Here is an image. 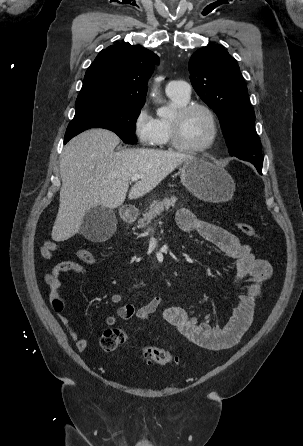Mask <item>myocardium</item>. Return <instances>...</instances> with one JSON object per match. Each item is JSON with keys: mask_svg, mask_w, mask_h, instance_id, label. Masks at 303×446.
Returning a JSON list of instances; mask_svg holds the SVG:
<instances>
[{"mask_svg": "<svg viewBox=\"0 0 303 446\" xmlns=\"http://www.w3.org/2000/svg\"><path fill=\"white\" fill-rule=\"evenodd\" d=\"M194 110H201L208 116L211 125V135L207 140V142H205L203 145L191 147L185 145L181 141L180 126L184 117H186ZM169 130H170V145L181 152L192 153V154L202 153L210 149L216 142L219 133L218 122L214 111L206 104L199 102L187 103L186 105L177 108L175 113L169 120Z\"/></svg>", "mask_w": 303, "mask_h": 446, "instance_id": "f54148a6", "label": "myocardium"}]
</instances>
